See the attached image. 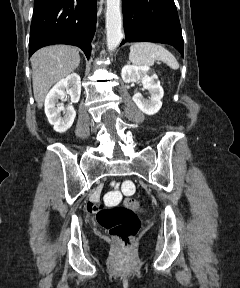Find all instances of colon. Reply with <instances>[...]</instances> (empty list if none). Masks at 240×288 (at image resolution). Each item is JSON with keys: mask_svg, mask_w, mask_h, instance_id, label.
I'll return each instance as SVG.
<instances>
[{"mask_svg": "<svg viewBox=\"0 0 240 288\" xmlns=\"http://www.w3.org/2000/svg\"><path fill=\"white\" fill-rule=\"evenodd\" d=\"M125 192L130 193L133 185L130 182L123 184ZM142 211V204L133 199L126 201L125 205L101 209L97 213L98 224L125 249L131 247L138 234L141 222L138 213Z\"/></svg>", "mask_w": 240, "mask_h": 288, "instance_id": "1", "label": "colon"}]
</instances>
